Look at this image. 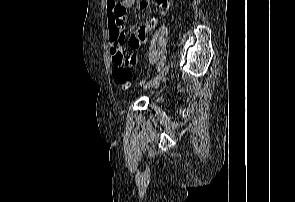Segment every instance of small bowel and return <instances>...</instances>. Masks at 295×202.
I'll use <instances>...</instances> for the list:
<instances>
[{
    "mask_svg": "<svg viewBox=\"0 0 295 202\" xmlns=\"http://www.w3.org/2000/svg\"><path fill=\"white\" fill-rule=\"evenodd\" d=\"M156 2L162 12H166L170 7V0H156ZM133 4L134 0H106L108 39L112 61L116 53H122L125 57H132L130 52L140 48L146 43L148 34L155 25L156 19H152L138 26L132 33L128 46H125L124 20L126 17V9L132 7ZM149 5V0H140L139 9L145 11L149 8ZM134 61H136L135 58Z\"/></svg>",
    "mask_w": 295,
    "mask_h": 202,
    "instance_id": "1",
    "label": "small bowel"
}]
</instances>
